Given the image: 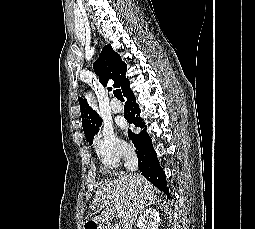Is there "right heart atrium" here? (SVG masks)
I'll return each mask as SVG.
<instances>
[{
    "mask_svg": "<svg viewBox=\"0 0 255 229\" xmlns=\"http://www.w3.org/2000/svg\"><path fill=\"white\" fill-rule=\"evenodd\" d=\"M93 145L104 168L117 166L122 158L129 156L132 152V147L109 127H103L96 134Z\"/></svg>",
    "mask_w": 255,
    "mask_h": 229,
    "instance_id": "d8ad5b80",
    "label": "right heart atrium"
}]
</instances>
